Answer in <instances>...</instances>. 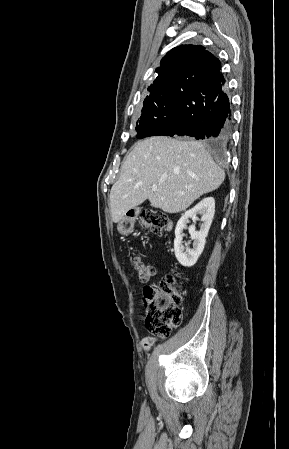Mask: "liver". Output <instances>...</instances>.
I'll return each instance as SVG.
<instances>
[{
    "mask_svg": "<svg viewBox=\"0 0 289 449\" xmlns=\"http://www.w3.org/2000/svg\"><path fill=\"white\" fill-rule=\"evenodd\" d=\"M225 172L197 141L156 136L135 145L110 191L112 221L149 200L167 213L186 210L203 194L216 190ZM157 185L156 191L152 186Z\"/></svg>",
    "mask_w": 289,
    "mask_h": 449,
    "instance_id": "6515ba94",
    "label": "liver"
}]
</instances>
